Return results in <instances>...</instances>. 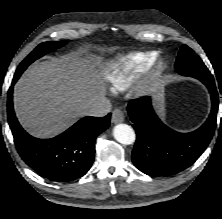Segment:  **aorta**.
<instances>
[{
    "label": "aorta",
    "mask_w": 222,
    "mask_h": 219,
    "mask_svg": "<svg viewBox=\"0 0 222 219\" xmlns=\"http://www.w3.org/2000/svg\"><path fill=\"white\" fill-rule=\"evenodd\" d=\"M114 138L121 144L130 145L135 141V132L133 128L127 124H117L113 128Z\"/></svg>",
    "instance_id": "762f6f07"
}]
</instances>
